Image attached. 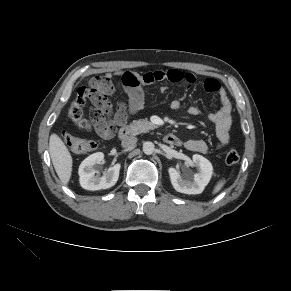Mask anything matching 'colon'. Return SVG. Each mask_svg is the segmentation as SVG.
Segmentation results:
<instances>
[{
	"instance_id": "obj_1",
	"label": "colon",
	"mask_w": 291,
	"mask_h": 291,
	"mask_svg": "<svg viewBox=\"0 0 291 291\" xmlns=\"http://www.w3.org/2000/svg\"><path fill=\"white\" fill-rule=\"evenodd\" d=\"M209 85L215 86L213 82ZM108 82L102 81L96 86L81 87L72 102L68 115L71 121L81 130H91L102 121V109L107 102L106 90ZM90 106L89 114L85 113V106ZM64 141L67 147L75 154L88 153L96 148V143L76 137L70 133H64ZM239 161V154L235 150H230L225 155V162L228 165L236 164Z\"/></svg>"
}]
</instances>
